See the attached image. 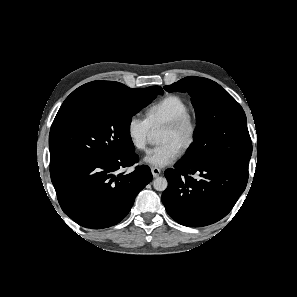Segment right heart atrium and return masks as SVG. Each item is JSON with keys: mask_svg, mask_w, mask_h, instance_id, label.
<instances>
[{"mask_svg": "<svg viewBox=\"0 0 297 297\" xmlns=\"http://www.w3.org/2000/svg\"><path fill=\"white\" fill-rule=\"evenodd\" d=\"M126 132L135 149L144 151L147 148L152 130L145 118L132 115L127 122Z\"/></svg>", "mask_w": 297, "mask_h": 297, "instance_id": "obj_1", "label": "right heart atrium"}]
</instances>
